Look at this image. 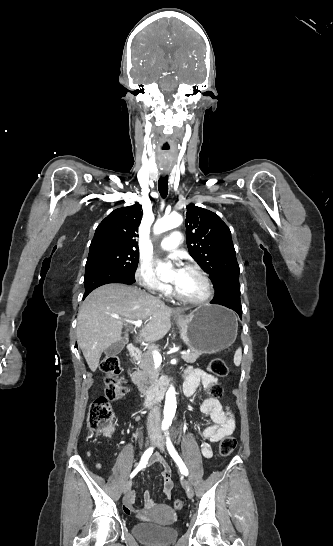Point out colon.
Here are the masks:
<instances>
[{"label":"colon","instance_id":"1","mask_svg":"<svg viewBox=\"0 0 333 546\" xmlns=\"http://www.w3.org/2000/svg\"><path fill=\"white\" fill-rule=\"evenodd\" d=\"M101 370L105 373L106 394L95 399L89 406L87 427L92 435H101L109 433L114 424L115 417L111 408V402L123 397L126 388L122 380L118 377L120 373V363L116 356H106L100 363ZM209 372L215 377H225L230 373V368L226 362L220 358L212 359L208 364ZM222 390L218 384H211L207 387L209 398L216 399L221 396ZM237 440L233 435H227L221 439L219 444V453L222 457L229 456L236 448ZM184 503L182 500H176L174 507L177 510L182 509Z\"/></svg>","mask_w":333,"mask_h":546}]
</instances>
